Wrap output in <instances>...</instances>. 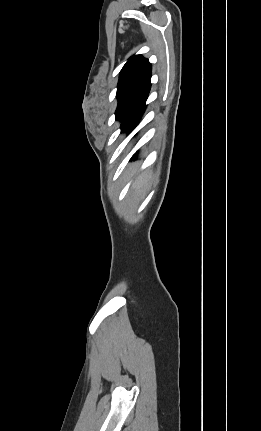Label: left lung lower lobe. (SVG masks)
<instances>
[{
    "instance_id": "1",
    "label": "left lung lower lobe",
    "mask_w": 261,
    "mask_h": 431,
    "mask_svg": "<svg viewBox=\"0 0 261 431\" xmlns=\"http://www.w3.org/2000/svg\"><path fill=\"white\" fill-rule=\"evenodd\" d=\"M150 87L151 83L149 79L129 105L122 119V132L130 131L140 120L146 108L145 102L148 97Z\"/></svg>"
}]
</instances>
